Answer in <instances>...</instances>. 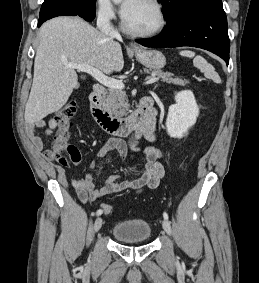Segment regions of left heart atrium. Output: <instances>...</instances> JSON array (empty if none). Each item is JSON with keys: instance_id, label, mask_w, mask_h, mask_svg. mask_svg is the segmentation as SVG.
Segmentation results:
<instances>
[{"instance_id": "39dd6f15", "label": "left heart atrium", "mask_w": 259, "mask_h": 283, "mask_svg": "<svg viewBox=\"0 0 259 283\" xmlns=\"http://www.w3.org/2000/svg\"><path fill=\"white\" fill-rule=\"evenodd\" d=\"M136 0H122L121 2V14L122 16L127 15L132 7L134 6Z\"/></svg>"}]
</instances>
